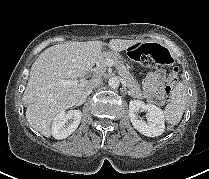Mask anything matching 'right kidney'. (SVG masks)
Wrapping results in <instances>:
<instances>
[{"instance_id": "1", "label": "right kidney", "mask_w": 209, "mask_h": 179, "mask_svg": "<svg viewBox=\"0 0 209 179\" xmlns=\"http://www.w3.org/2000/svg\"><path fill=\"white\" fill-rule=\"evenodd\" d=\"M82 113L80 110H70L67 113L60 112L52 124V136L61 140L71 135L79 126Z\"/></svg>"}]
</instances>
